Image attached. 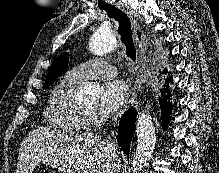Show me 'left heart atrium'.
Listing matches in <instances>:
<instances>
[{"mask_svg": "<svg viewBox=\"0 0 219 173\" xmlns=\"http://www.w3.org/2000/svg\"><path fill=\"white\" fill-rule=\"evenodd\" d=\"M129 97L127 84L122 80L107 82L103 88L101 98V109L104 112L112 113L119 110L126 103Z\"/></svg>", "mask_w": 219, "mask_h": 173, "instance_id": "1", "label": "left heart atrium"}]
</instances>
